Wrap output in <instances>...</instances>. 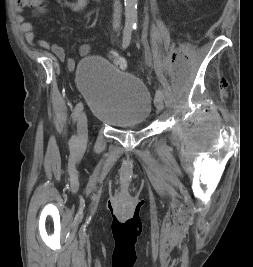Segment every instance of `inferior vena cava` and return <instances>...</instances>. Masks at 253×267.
I'll list each match as a JSON object with an SVG mask.
<instances>
[{
    "label": "inferior vena cava",
    "mask_w": 253,
    "mask_h": 267,
    "mask_svg": "<svg viewBox=\"0 0 253 267\" xmlns=\"http://www.w3.org/2000/svg\"><path fill=\"white\" fill-rule=\"evenodd\" d=\"M121 20V4L120 0H115L114 2V12H113V28H120Z\"/></svg>",
    "instance_id": "obj_1"
}]
</instances>
